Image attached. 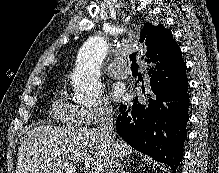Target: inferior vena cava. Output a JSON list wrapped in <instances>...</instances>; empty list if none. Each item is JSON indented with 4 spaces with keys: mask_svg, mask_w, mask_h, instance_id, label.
<instances>
[{
    "mask_svg": "<svg viewBox=\"0 0 219 173\" xmlns=\"http://www.w3.org/2000/svg\"><path fill=\"white\" fill-rule=\"evenodd\" d=\"M113 118V109L106 107L100 119V133L105 144H107L109 147H112V149L116 140V136L114 133ZM113 152V158L109 160L108 166L105 169V173H119L120 171L119 161L117 159L114 149Z\"/></svg>",
    "mask_w": 219,
    "mask_h": 173,
    "instance_id": "inferior-vena-cava-1",
    "label": "inferior vena cava"
}]
</instances>
